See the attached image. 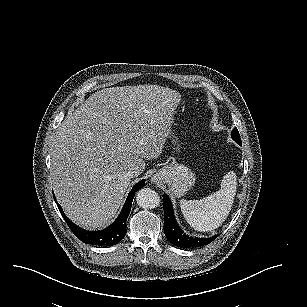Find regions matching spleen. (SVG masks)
<instances>
[{
    "label": "spleen",
    "instance_id": "obj_1",
    "mask_svg": "<svg viewBox=\"0 0 307 307\" xmlns=\"http://www.w3.org/2000/svg\"><path fill=\"white\" fill-rule=\"evenodd\" d=\"M237 176L230 171L224 175L221 188L200 200H180L187 223L196 231H213L222 225L231 211L236 195Z\"/></svg>",
    "mask_w": 307,
    "mask_h": 307
}]
</instances>
